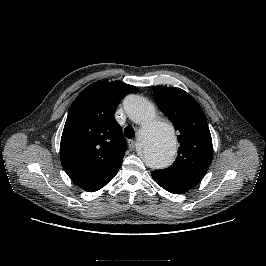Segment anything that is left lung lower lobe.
I'll return each instance as SVG.
<instances>
[{
	"label": "left lung lower lobe",
	"instance_id": "1",
	"mask_svg": "<svg viewBox=\"0 0 266 266\" xmlns=\"http://www.w3.org/2000/svg\"><path fill=\"white\" fill-rule=\"evenodd\" d=\"M152 178L158 185H160L162 188H164L165 190H167L173 194H182V193L187 192V190L179 188L177 186H174V185L158 178L157 176H155L153 174H152Z\"/></svg>",
	"mask_w": 266,
	"mask_h": 266
}]
</instances>
